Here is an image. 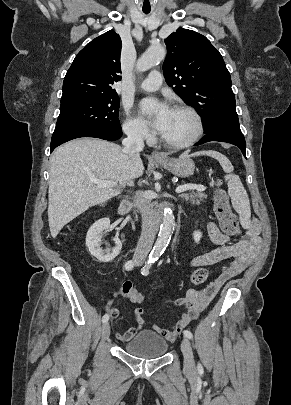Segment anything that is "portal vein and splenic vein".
Segmentation results:
<instances>
[{
	"instance_id": "1",
	"label": "portal vein and splenic vein",
	"mask_w": 291,
	"mask_h": 405,
	"mask_svg": "<svg viewBox=\"0 0 291 405\" xmlns=\"http://www.w3.org/2000/svg\"><path fill=\"white\" fill-rule=\"evenodd\" d=\"M91 181L94 182L98 187L110 188V187L117 186V184L113 181L98 180L95 178H91ZM188 190L204 191L205 187L203 185H197V184H184V185L178 186L176 188V193H183Z\"/></svg>"
}]
</instances>
